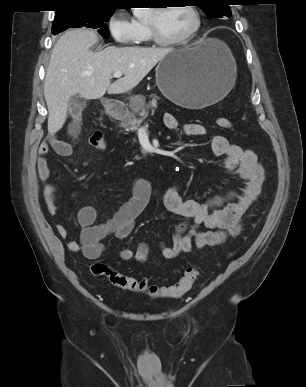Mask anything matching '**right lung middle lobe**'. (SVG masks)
<instances>
[{
  "label": "right lung middle lobe",
  "instance_id": "obj_1",
  "mask_svg": "<svg viewBox=\"0 0 306 387\" xmlns=\"http://www.w3.org/2000/svg\"><path fill=\"white\" fill-rule=\"evenodd\" d=\"M113 9H69L55 14L52 34H58L70 27H88L97 29L105 38L109 37L105 24L113 14Z\"/></svg>",
  "mask_w": 306,
  "mask_h": 387
}]
</instances>
